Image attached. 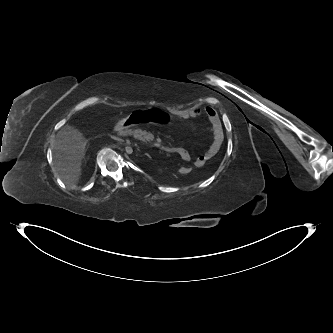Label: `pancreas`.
I'll return each instance as SVG.
<instances>
[{"label":"pancreas","instance_id":"cf45deb5","mask_svg":"<svg viewBox=\"0 0 333 333\" xmlns=\"http://www.w3.org/2000/svg\"><path fill=\"white\" fill-rule=\"evenodd\" d=\"M126 134L129 135H133L134 138L143 141V142H147L146 140V133L144 131H142L141 129H135V130H126L125 131Z\"/></svg>","mask_w":333,"mask_h":333}]
</instances>
